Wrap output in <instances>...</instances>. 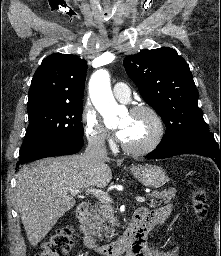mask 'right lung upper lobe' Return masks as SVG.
<instances>
[{"mask_svg": "<svg viewBox=\"0 0 221 256\" xmlns=\"http://www.w3.org/2000/svg\"><path fill=\"white\" fill-rule=\"evenodd\" d=\"M87 68L86 61L75 55L55 53L43 59L31 82L27 110L83 103Z\"/></svg>", "mask_w": 221, "mask_h": 256, "instance_id": "right-lung-upper-lobe-1", "label": "right lung upper lobe"}]
</instances>
